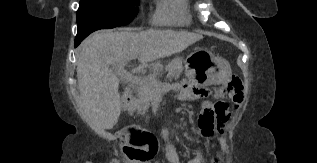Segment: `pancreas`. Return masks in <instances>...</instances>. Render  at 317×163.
Here are the masks:
<instances>
[{
    "label": "pancreas",
    "mask_w": 317,
    "mask_h": 163,
    "mask_svg": "<svg viewBox=\"0 0 317 163\" xmlns=\"http://www.w3.org/2000/svg\"><path fill=\"white\" fill-rule=\"evenodd\" d=\"M182 63L181 58H175L170 61L165 67V70L168 72L167 78H178L184 70ZM151 69L153 73L145 78L147 82L138 88V100L129 107L130 113L137 111V114H144L159 92L157 82L161 76L163 65L160 62H156L151 65Z\"/></svg>",
    "instance_id": "obj_1"
}]
</instances>
